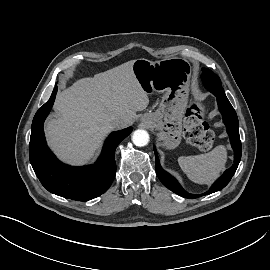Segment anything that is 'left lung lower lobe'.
I'll list each match as a JSON object with an SVG mask.
<instances>
[{
    "label": "left lung lower lobe",
    "instance_id": "1",
    "mask_svg": "<svg viewBox=\"0 0 270 270\" xmlns=\"http://www.w3.org/2000/svg\"><path fill=\"white\" fill-rule=\"evenodd\" d=\"M217 103L219 110L223 116V121L227 127V133L230 136V142L234 150L235 159L233 166L227 169L224 172V174L213 184V186L207 192L199 195H194L186 192L173 176H171L169 173H167L165 170L162 169L159 163V158L156 149L154 148L156 157V173L160 181L165 185V187H167L168 189H170L171 191H173L174 193H176L181 197L198 198L223 189L229 183L239 165L242 154V148L239 136V123L237 114L227 98L217 97Z\"/></svg>",
    "mask_w": 270,
    "mask_h": 270
}]
</instances>
